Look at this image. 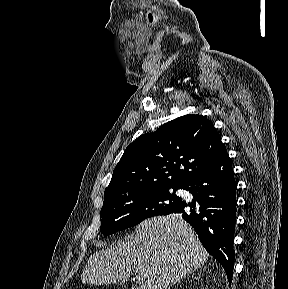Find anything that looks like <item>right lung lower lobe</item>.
I'll return each mask as SVG.
<instances>
[{"label": "right lung lower lobe", "instance_id": "98d812e1", "mask_svg": "<svg viewBox=\"0 0 288 289\" xmlns=\"http://www.w3.org/2000/svg\"><path fill=\"white\" fill-rule=\"evenodd\" d=\"M181 189L189 191L194 200L189 203L181 200L168 214H182L205 249L223 266L231 284L237 184L227 152L210 167L191 177ZM186 207L190 209L185 210Z\"/></svg>", "mask_w": 288, "mask_h": 289}]
</instances>
